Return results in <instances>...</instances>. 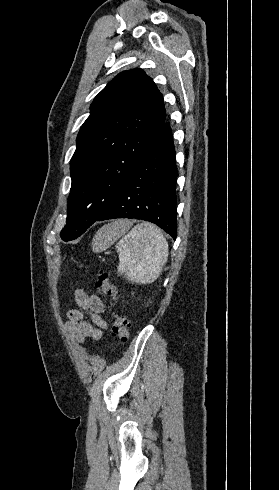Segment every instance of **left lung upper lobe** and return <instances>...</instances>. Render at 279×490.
Here are the masks:
<instances>
[{
  "label": "left lung upper lobe",
  "instance_id": "left-lung-upper-lobe-1",
  "mask_svg": "<svg viewBox=\"0 0 279 490\" xmlns=\"http://www.w3.org/2000/svg\"><path fill=\"white\" fill-rule=\"evenodd\" d=\"M70 161L64 241L82 235L110 207L148 142L167 121L163 96L142 69L123 71L96 96Z\"/></svg>",
  "mask_w": 279,
  "mask_h": 490
}]
</instances>
